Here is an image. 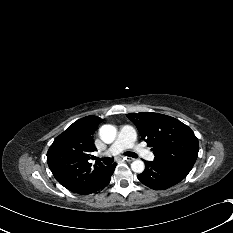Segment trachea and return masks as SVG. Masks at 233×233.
Wrapping results in <instances>:
<instances>
[{
    "label": "trachea",
    "instance_id": "obj_1",
    "mask_svg": "<svg viewBox=\"0 0 233 233\" xmlns=\"http://www.w3.org/2000/svg\"><path fill=\"white\" fill-rule=\"evenodd\" d=\"M126 156H129V157H133V158H137V154L134 153V152H125L124 153ZM98 161L102 160L104 164L108 165V164H111L113 162V159L110 158V157H105L103 159H100V158H96Z\"/></svg>",
    "mask_w": 233,
    "mask_h": 233
}]
</instances>
